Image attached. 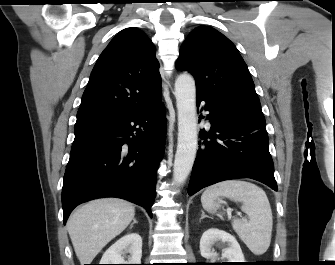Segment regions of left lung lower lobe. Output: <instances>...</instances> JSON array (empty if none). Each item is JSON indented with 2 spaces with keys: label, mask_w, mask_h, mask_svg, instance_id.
Returning <instances> with one entry per match:
<instances>
[{
  "label": "left lung lower lobe",
  "mask_w": 335,
  "mask_h": 265,
  "mask_svg": "<svg viewBox=\"0 0 335 265\" xmlns=\"http://www.w3.org/2000/svg\"><path fill=\"white\" fill-rule=\"evenodd\" d=\"M197 106L206 102L209 133L200 131V149L192 170L188 194L220 181L251 178L277 191L269 153L266 125L255 122L196 94ZM209 138L210 140H207Z\"/></svg>",
  "instance_id": "left-lung-lower-lobe-1"
}]
</instances>
